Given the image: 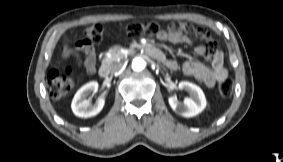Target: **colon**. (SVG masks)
Returning a JSON list of instances; mask_svg holds the SVG:
<instances>
[{"label": "colon", "instance_id": "5ec220e1", "mask_svg": "<svg viewBox=\"0 0 283 162\" xmlns=\"http://www.w3.org/2000/svg\"><path fill=\"white\" fill-rule=\"evenodd\" d=\"M104 28L100 23H93L84 29L86 41L99 42L102 39ZM159 24L154 22L149 23H133L127 27V33L132 37H139L142 35L154 36L161 32ZM72 51L66 46L63 50V58L70 57ZM47 85L50 94L53 98H61L66 95L74 86L73 79L70 76L68 69L64 71L51 70L47 75ZM233 82L226 79L218 85V92L222 97H229L233 92Z\"/></svg>", "mask_w": 283, "mask_h": 162}]
</instances>
